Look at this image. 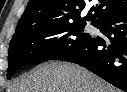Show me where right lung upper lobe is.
<instances>
[{
  "instance_id": "obj_1",
  "label": "right lung upper lobe",
  "mask_w": 127,
  "mask_h": 92,
  "mask_svg": "<svg viewBox=\"0 0 127 92\" xmlns=\"http://www.w3.org/2000/svg\"><path fill=\"white\" fill-rule=\"evenodd\" d=\"M94 0H30L12 39L34 27L62 26L70 23H96L100 19L127 10V0H97L81 19V11ZM11 39V40H12Z\"/></svg>"
}]
</instances>
